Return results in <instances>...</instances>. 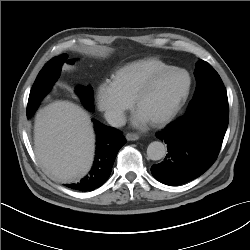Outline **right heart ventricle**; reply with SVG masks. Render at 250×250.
Returning <instances> with one entry per match:
<instances>
[{
	"mask_svg": "<svg viewBox=\"0 0 250 250\" xmlns=\"http://www.w3.org/2000/svg\"><path fill=\"white\" fill-rule=\"evenodd\" d=\"M172 67L158 58H143L118 68L111 76V83L122 94L134 100L142 85L155 73Z\"/></svg>",
	"mask_w": 250,
	"mask_h": 250,
	"instance_id": "e07e8e85",
	"label": "right heart ventricle"
}]
</instances>
